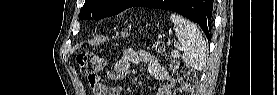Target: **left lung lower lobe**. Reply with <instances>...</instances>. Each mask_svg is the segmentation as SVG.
Instances as JSON below:
<instances>
[{
	"label": "left lung lower lobe",
	"mask_w": 277,
	"mask_h": 95,
	"mask_svg": "<svg viewBox=\"0 0 277 95\" xmlns=\"http://www.w3.org/2000/svg\"><path fill=\"white\" fill-rule=\"evenodd\" d=\"M133 7L160 8L159 0H139ZM174 11L194 22L204 31L207 39H211L213 0H176L164 8Z\"/></svg>",
	"instance_id": "1"
}]
</instances>
